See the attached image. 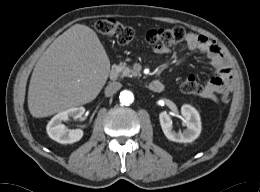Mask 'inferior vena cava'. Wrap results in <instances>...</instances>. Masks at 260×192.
Segmentation results:
<instances>
[{
    "mask_svg": "<svg viewBox=\"0 0 260 192\" xmlns=\"http://www.w3.org/2000/svg\"><path fill=\"white\" fill-rule=\"evenodd\" d=\"M121 87L122 84L120 82H111L105 89L106 96L114 95Z\"/></svg>",
    "mask_w": 260,
    "mask_h": 192,
    "instance_id": "inferior-vena-cava-1",
    "label": "inferior vena cava"
}]
</instances>
